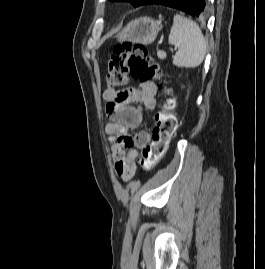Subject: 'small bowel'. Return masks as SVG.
I'll return each mask as SVG.
<instances>
[{
  "label": "small bowel",
  "mask_w": 265,
  "mask_h": 269,
  "mask_svg": "<svg viewBox=\"0 0 265 269\" xmlns=\"http://www.w3.org/2000/svg\"><path fill=\"white\" fill-rule=\"evenodd\" d=\"M156 92L154 82L142 81L139 88L128 87L120 91L107 88L102 93L109 118L106 132L111 142L115 171L123 181H129L134 176L139 149L149 140L145 131L138 133L136 138L129 136V131L140 126L144 110L155 108Z\"/></svg>",
  "instance_id": "small-bowel-1"
}]
</instances>
